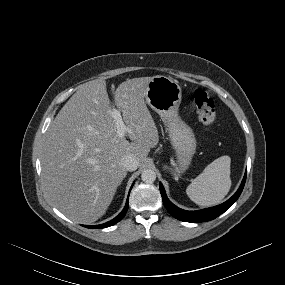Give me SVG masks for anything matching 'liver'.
<instances>
[{
  "mask_svg": "<svg viewBox=\"0 0 285 285\" xmlns=\"http://www.w3.org/2000/svg\"><path fill=\"white\" fill-rule=\"evenodd\" d=\"M152 78L126 80L115 91L131 142L117 136L102 79L81 85L48 128L41 154L43 186L51 203L72 221L89 224L102 217L126 176L121 158L131 154L141 165L158 144L145 103Z\"/></svg>",
  "mask_w": 285,
  "mask_h": 285,
  "instance_id": "1",
  "label": "liver"
}]
</instances>
